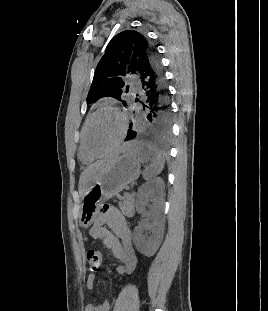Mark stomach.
Returning <instances> with one entry per match:
<instances>
[{"label":"stomach","instance_id":"obj_1","mask_svg":"<svg viewBox=\"0 0 268 311\" xmlns=\"http://www.w3.org/2000/svg\"><path fill=\"white\" fill-rule=\"evenodd\" d=\"M147 154V145L135 149L125 146L123 154L114 158L109 166L85 190L79 212V224L88 228L94 222L101 205L119 194L140 175L141 158Z\"/></svg>","mask_w":268,"mask_h":311}]
</instances>
